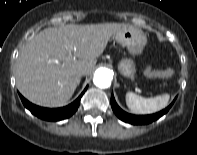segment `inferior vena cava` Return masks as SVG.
<instances>
[{"mask_svg":"<svg viewBox=\"0 0 197 155\" xmlns=\"http://www.w3.org/2000/svg\"><path fill=\"white\" fill-rule=\"evenodd\" d=\"M78 75H79V76L87 75V71L84 70V69H82V70H80V71L78 72Z\"/></svg>","mask_w":197,"mask_h":155,"instance_id":"602c4592","label":"inferior vena cava"}]
</instances>
